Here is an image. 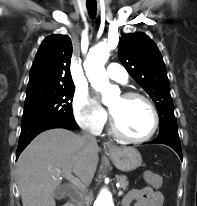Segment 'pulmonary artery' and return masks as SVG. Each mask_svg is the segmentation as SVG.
<instances>
[{
  "label": "pulmonary artery",
  "mask_w": 197,
  "mask_h": 206,
  "mask_svg": "<svg viewBox=\"0 0 197 206\" xmlns=\"http://www.w3.org/2000/svg\"><path fill=\"white\" fill-rule=\"evenodd\" d=\"M107 75L110 79L121 83H125L128 78L126 70L118 63H111L107 66Z\"/></svg>",
  "instance_id": "pulmonary-artery-1"
}]
</instances>
